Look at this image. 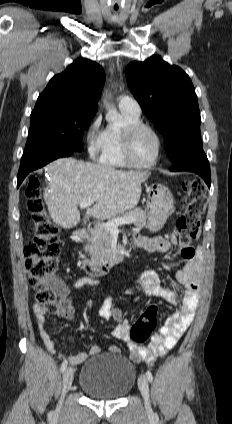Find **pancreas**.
I'll use <instances>...</instances> for the list:
<instances>
[{
    "instance_id": "pancreas-1",
    "label": "pancreas",
    "mask_w": 232,
    "mask_h": 424,
    "mask_svg": "<svg viewBox=\"0 0 232 424\" xmlns=\"http://www.w3.org/2000/svg\"><path fill=\"white\" fill-rule=\"evenodd\" d=\"M123 217H134L136 221L133 224L141 229L147 225V215L144 210L137 208L131 212L125 213L122 216L112 218V220L123 218ZM111 220V221H112ZM88 245L87 250L90 253L93 261L102 262L112 255L111 249V232L103 227H95L91 230V235L87 238Z\"/></svg>"
}]
</instances>
